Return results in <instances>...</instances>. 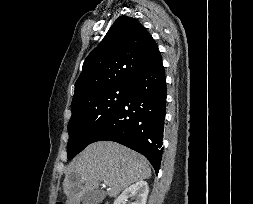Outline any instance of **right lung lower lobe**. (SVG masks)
Wrapping results in <instances>:
<instances>
[{"instance_id":"98d812e1","label":"right lung lower lobe","mask_w":253,"mask_h":204,"mask_svg":"<svg viewBox=\"0 0 253 204\" xmlns=\"http://www.w3.org/2000/svg\"><path fill=\"white\" fill-rule=\"evenodd\" d=\"M166 77L157 52L129 84L126 97L93 142L108 140L143 154L158 173L163 153Z\"/></svg>"}]
</instances>
